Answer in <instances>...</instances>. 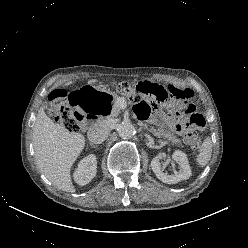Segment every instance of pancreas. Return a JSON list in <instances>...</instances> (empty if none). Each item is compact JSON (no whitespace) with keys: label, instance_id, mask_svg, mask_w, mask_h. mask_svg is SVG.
Instances as JSON below:
<instances>
[{"label":"pancreas","instance_id":"pancreas-1","mask_svg":"<svg viewBox=\"0 0 248 248\" xmlns=\"http://www.w3.org/2000/svg\"><path fill=\"white\" fill-rule=\"evenodd\" d=\"M117 96L114 97V101H113V109L111 111V116L115 117L119 114L120 112V107L117 105ZM143 128L149 132H152L154 136L158 137V138H163L167 141H170L176 145H181V141L174 135V133L168 131V130H164L162 128L160 129H155L153 127H148L147 124H144Z\"/></svg>","mask_w":248,"mask_h":248}]
</instances>
